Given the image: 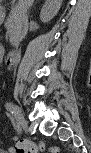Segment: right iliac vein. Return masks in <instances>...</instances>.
I'll return each instance as SVG.
<instances>
[{
  "label": "right iliac vein",
  "mask_w": 91,
  "mask_h": 153,
  "mask_svg": "<svg viewBox=\"0 0 91 153\" xmlns=\"http://www.w3.org/2000/svg\"><path fill=\"white\" fill-rule=\"evenodd\" d=\"M12 111H13V114H14L16 120H17L18 128L20 130L26 131L27 130V122H26L24 116L22 115L19 107L15 104H12Z\"/></svg>",
  "instance_id": "right-iliac-vein-1"
}]
</instances>
